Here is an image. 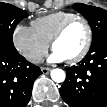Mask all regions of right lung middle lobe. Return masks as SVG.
Wrapping results in <instances>:
<instances>
[{
	"mask_svg": "<svg viewBox=\"0 0 107 107\" xmlns=\"http://www.w3.org/2000/svg\"><path fill=\"white\" fill-rule=\"evenodd\" d=\"M28 14L7 3H0V50L18 53L13 44V32L16 25Z\"/></svg>",
	"mask_w": 107,
	"mask_h": 107,
	"instance_id": "obj_1",
	"label": "right lung middle lobe"
}]
</instances>
